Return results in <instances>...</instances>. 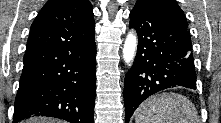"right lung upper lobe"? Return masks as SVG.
<instances>
[{
    "instance_id": "1",
    "label": "right lung upper lobe",
    "mask_w": 221,
    "mask_h": 123,
    "mask_svg": "<svg viewBox=\"0 0 221 123\" xmlns=\"http://www.w3.org/2000/svg\"><path fill=\"white\" fill-rule=\"evenodd\" d=\"M88 0H50L35 18L27 50L70 44L95 32Z\"/></svg>"
}]
</instances>
